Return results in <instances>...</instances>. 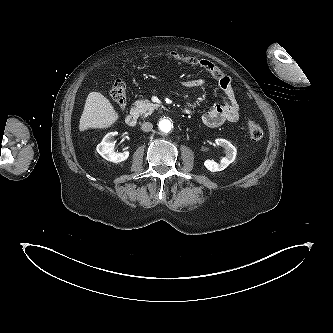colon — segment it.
I'll return each instance as SVG.
<instances>
[{
	"label": "colon",
	"mask_w": 333,
	"mask_h": 333,
	"mask_svg": "<svg viewBox=\"0 0 333 333\" xmlns=\"http://www.w3.org/2000/svg\"><path fill=\"white\" fill-rule=\"evenodd\" d=\"M168 57L193 66H199L215 79L220 80L225 77L222 70L209 60L198 59L178 53H170L168 54ZM110 95L113 103L118 107V109L123 110L127 101V90L126 84L121 78L116 77L114 79L111 86ZM246 127L251 140L260 141L263 138L264 130L254 120H248L246 123Z\"/></svg>",
	"instance_id": "colon-1"
}]
</instances>
